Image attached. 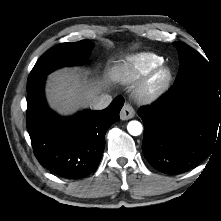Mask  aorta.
Listing matches in <instances>:
<instances>
[{
    "label": "aorta",
    "instance_id": "obj_1",
    "mask_svg": "<svg viewBox=\"0 0 221 221\" xmlns=\"http://www.w3.org/2000/svg\"><path fill=\"white\" fill-rule=\"evenodd\" d=\"M127 130L132 136H138L142 133L143 127L139 121L132 120L128 123Z\"/></svg>",
    "mask_w": 221,
    "mask_h": 221
}]
</instances>
